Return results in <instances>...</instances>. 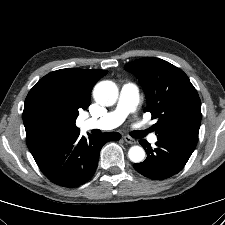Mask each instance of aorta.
<instances>
[{"instance_id":"1","label":"aorta","mask_w":225,"mask_h":225,"mask_svg":"<svg viewBox=\"0 0 225 225\" xmlns=\"http://www.w3.org/2000/svg\"><path fill=\"white\" fill-rule=\"evenodd\" d=\"M93 95L100 105L111 106L117 101L118 88L112 81H101L95 86ZM128 157L132 162L140 163L145 158V151L140 146H132L128 151Z\"/></svg>"}]
</instances>
